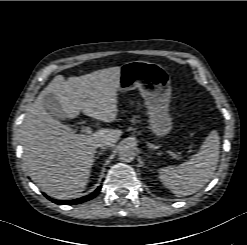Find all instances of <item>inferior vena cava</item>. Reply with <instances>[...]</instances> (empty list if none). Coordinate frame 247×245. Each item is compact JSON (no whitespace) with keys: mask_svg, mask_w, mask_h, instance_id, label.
Masks as SVG:
<instances>
[{"mask_svg":"<svg viewBox=\"0 0 247 245\" xmlns=\"http://www.w3.org/2000/svg\"><path fill=\"white\" fill-rule=\"evenodd\" d=\"M110 142H108V141H102V142H100L99 143V147L101 148V149H107L108 147H110Z\"/></svg>","mask_w":247,"mask_h":245,"instance_id":"602c4592","label":"inferior vena cava"}]
</instances>
